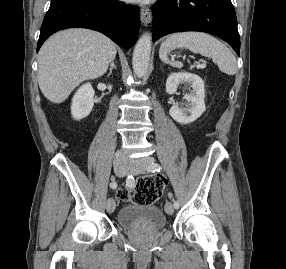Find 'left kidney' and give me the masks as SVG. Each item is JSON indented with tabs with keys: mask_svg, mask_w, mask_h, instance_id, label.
Wrapping results in <instances>:
<instances>
[{
	"mask_svg": "<svg viewBox=\"0 0 286 269\" xmlns=\"http://www.w3.org/2000/svg\"><path fill=\"white\" fill-rule=\"evenodd\" d=\"M182 83L190 84L192 87L191 93L184 96L186 107L174 104L170 108L169 114L176 122L188 124L199 118L206 109L204 82L198 75L192 73H172L166 81V92L170 95L174 94L179 84Z\"/></svg>",
	"mask_w": 286,
	"mask_h": 269,
	"instance_id": "obj_1",
	"label": "left kidney"
}]
</instances>
